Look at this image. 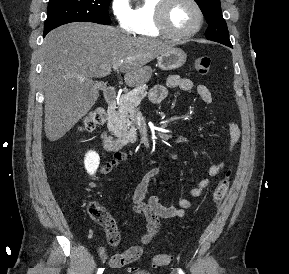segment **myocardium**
<instances>
[{
  "instance_id": "obj_1",
  "label": "myocardium",
  "mask_w": 289,
  "mask_h": 274,
  "mask_svg": "<svg viewBox=\"0 0 289 274\" xmlns=\"http://www.w3.org/2000/svg\"><path fill=\"white\" fill-rule=\"evenodd\" d=\"M175 0H160L159 4L156 7L155 11V22L157 28L166 36H169L171 38H176V39H185L192 37L196 35L200 29L203 26L204 23V13L203 10L200 6V4L197 2V0H188L193 7L195 8L197 15H198V22L197 25L186 32H178L173 30L168 22V13L170 6Z\"/></svg>"
}]
</instances>
